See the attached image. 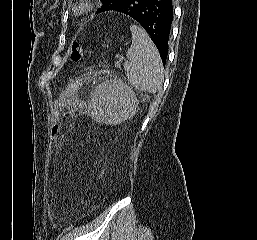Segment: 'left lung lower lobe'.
Returning a JSON list of instances; mask_svg holds the SVG:
<instances>
[{"instance_id":"obj_1","label":"left lung lower lobe","mask_w":257,"mask_h":240,"mask_svg":"<svg viewBox=\"0 0 257 240\" xmlns=\"http://www.w3.org/2000/svg\"><path fill=\"white\" fill-rule=\"evenodd\" d=\"M109 11L120 12L136 20L150 35L165 66L173 19L172 0H123Z\"/></svg>"}]
</instances>
